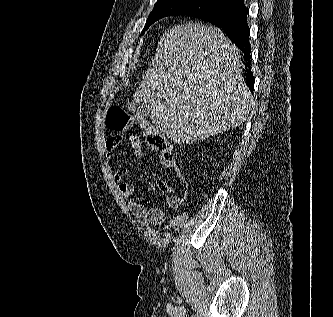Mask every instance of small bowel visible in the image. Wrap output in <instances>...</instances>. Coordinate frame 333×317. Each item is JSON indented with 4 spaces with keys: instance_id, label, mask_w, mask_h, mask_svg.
<instances>
[{
    "instance_id": "1",
    "label": "small bowel",
    "mask_w": 333,
    "mask_h": 317,
    "mask_svg": "<svg viewBox=\"0 0 333 317\" xmlns=\"http://www.w3.org/2000/svg\"><path fill=\"white\" fill-rule=\"evenodd\" d=\"M128 141L136 156L142 157L144 154L140 138L137 135H129ZM122 142L123 137L121 135H113L106 140L105 154L108 160L112 158L114 151ZM115 177L118 183L119 192L123 197L129 200V208L135 217L143 219L149 226H158L165 221L166 214L162 209L157 207L147 209L143 203L136 199L135 186L127 181L120 172H116ZM157 187L164 194L172 193L170 185L161 178L157 179ZM181 203L182 199L179 196L170 195L167 198L166 206L169 210H177L181 206Z\"/></svg>"
}]
</instances>
